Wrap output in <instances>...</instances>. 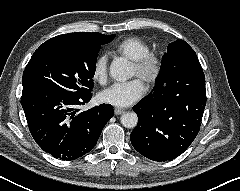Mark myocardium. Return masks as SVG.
Returning a JSON list of instances; mask_svg holds the SVG:
<instances>
[{"label":"myocardium","instance_id":"obj_1","mask_svg":"<svg viewBox=\"0 0 240 191\" xmlns=\"http://www.w3.org/2000/svg\"><path fill=\"white\" fill-rule=\"evenodd\" d=\"M137 70V76L142 79L147 85H155L163 70V61L160 55L154 52H149L133 63Z\"/></svg>","mask_w":240,"mask_h":191}]
</instances>
